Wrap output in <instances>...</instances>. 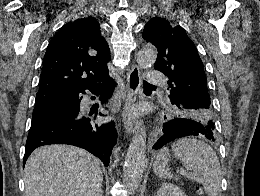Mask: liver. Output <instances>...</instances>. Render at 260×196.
Segmentation results:
<instances>
[{
    "instance_id": "liver-1",
    "label": "liver",
    "mask_w": 260,
    "mask_h": 196,
    "mask_svg": "<svg viewBox=\"0 0 260 196\" xmlns=\"http://www.w3.org/2000/svg\"><path fill=\"white\" fill-rule=\"evenodd\" d=\"M100 160L75 146H40L24 168L25 196H102Z\"/></svg>"
}]
</instances>
